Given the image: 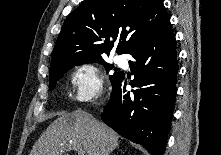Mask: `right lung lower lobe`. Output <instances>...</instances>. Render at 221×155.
<instances>
[{"instance_id": "right-lung-lower-lobe-1", "label": "right lung lower lobe", "mask_w": 221, "mask_h": 155, "mask_svg": "<svg viewBox=\"0 0 221 155\" xmlns=\"http://www.w3.org/2000/svg\"><path fill=\"white\" fill-rule=\"evenodd\" d=\"M137 88L126 91L124 73L112 82L102 120L121 136L143 145L150 155H163L175 106L178 73L176 40L170 23L145 35L130 51Z\"/></svg>"}]
</instances>
